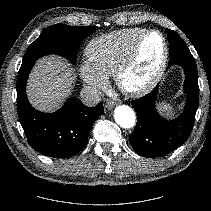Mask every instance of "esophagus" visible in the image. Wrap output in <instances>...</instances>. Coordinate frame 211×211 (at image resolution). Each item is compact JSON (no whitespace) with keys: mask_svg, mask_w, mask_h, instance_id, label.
<instances>
[{"mask_svg":"<svg viewBox=\"0 0 211 211\" xmlns=\"http://www.w3.org/2000/svg\"><path fill=\"white\" fill-rule=\"evenodd\" d=\"M117 105V102L114 101H109L106 103L105 108L108 110H111L112 108H114Z\"/></svg>","mask_w":211,"mask_h":211,"instance_id":"esophagus-1","label":"esophagus"}]
</instances>
